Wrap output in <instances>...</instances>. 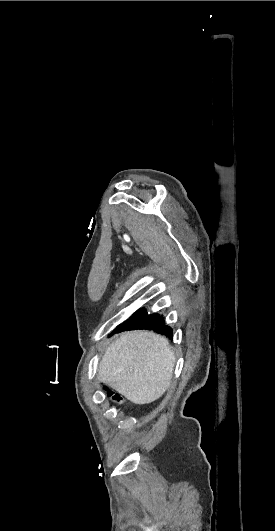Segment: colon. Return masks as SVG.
<instances>
[{
	"label": "colon",
	"instance_id": "5ec220e1",
	"mask_svg": "<svg viewBox=\"0 0 275 531\" xmlns=\"http://www.w3.org/2000/svg\"><path fill=\"white\" fill-rule=\"evenodd\" d=\"M103 390L105 394L108 397H111L114 402L121 403V398L116 393H114L109 387L104 386Z\"/></svg>",
	"mask_w": 275,
	"mask_h": 531
}]
</instances>
